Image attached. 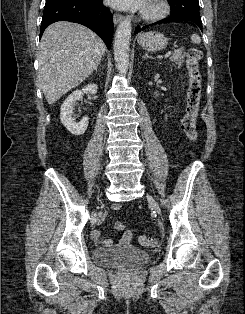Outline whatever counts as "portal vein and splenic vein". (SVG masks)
<instances>
[{
	"instance_id": "1",
	"label": "portal vein and splenic vein",
	"mask_w": 245,
	"mask_h": 314,
	"mask_svg": "<svg viewBox=\"0 0 245 314\" xmlns=\"http://www.w3.org/2000/svg\"><path fill=\"white\" fill-rule=\"evenodd\" d=\"M171 53H172L171 50H169V51L164 55V57H165V58L169 57V56L171 55Z\"/></svg>"
}]
</instances>
